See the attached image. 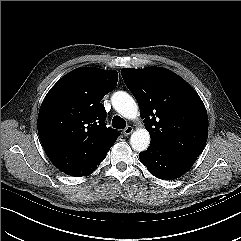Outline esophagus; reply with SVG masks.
Instances as JSON below:
<instances>
[{
    "mask_svg": "<svg viewBox=\"0 0 241 241\" xmlns=\"http://www.w3.org/2000/svg\"><path fill=\"white\" fill-rule=\"evenodd\" d=\"M133 132V127L132 126H127L124 130H123V134L125 136L130 135Z\"/></svg>",
    "mask_w": 241,
    "mask_h": 241,
    "instance_id": "esophagus-1",
    "label": "esophagus"
}]
</instances>
